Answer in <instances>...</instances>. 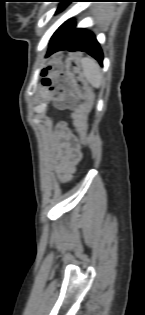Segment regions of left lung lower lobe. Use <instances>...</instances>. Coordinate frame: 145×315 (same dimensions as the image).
<instances>
[{"label": "left lung lower lobe", "mask_w": 145, "mask_h": 315, "mask_svg": "<svg viewBox=\"0 0 145 315\" xmlns=\"http://www.w3.org/2000/svg\"><path fill=\"white\" fill-rule=\"evenodd\" d=\"M61 50L87 52L102 65L103 53L95 35L76 28L73 19L64 22L54 33L46 56Z\"/></svg>", "instance_id": "0a47b994"}]
</instances>
